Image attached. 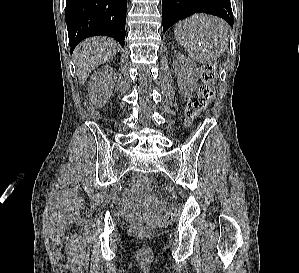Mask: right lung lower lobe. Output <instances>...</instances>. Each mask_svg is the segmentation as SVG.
Wrapping results in <instances>:
<instances>
[{
    "instance_id": "right-lung-lower-lobe-1",
    "label": "right lung lower lobe",
    "mask_w": 299,
    "mask_h": 273,
    "mask_svg": "<svg viewBox=\"0 0 299 273\" xmlns=\"http://www.w3.org/2000/svg\"><path fill=\"white\" fill-rule=\"evenodd\" d=\"M127 0H66L71 53L83 39L105 35L125 45Z\"/></svg>"
}]
</instances>
